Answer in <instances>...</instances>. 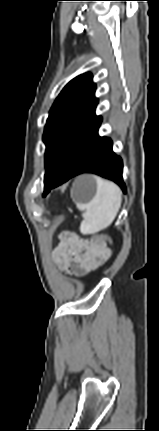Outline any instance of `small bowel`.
<instances>
[{
    "label": "small bowel",
    "mask_w": 159,
    "mask_h": 431,
    "mask_svg": "<svg viewBox=\"0 0 159 431\" xmlns=\"http://www.w3.org/2000/svg\"><path fill=\"white\" fill-rule=\"evenodd\" d=\"M111 255L102 236L83 239L71 231L62 232L55 250V261L65 273L82 277L103 265Z\"/></svg>",
    "instance_id": "c3829d8e"
}]
</instances>
